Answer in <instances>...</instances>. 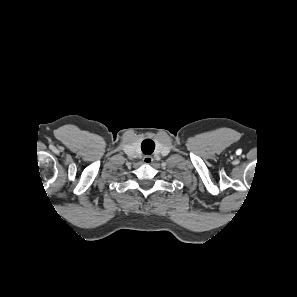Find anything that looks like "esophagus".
<instances>
[{"mask_svg":"<svg viewBox=\"0 0 297 297\" xmlns=\"http://www.w3.org/2000/svg\"><path fill=\"white\" fill-rule=\"evenodd\" d=\"M143 162H144L145 164H151V163L153 162V158H152L151 156H149V155H146V156H144V158H143Z\"/></svg>","mask_w":297,"mask_h":297,"instance_id":"obj_1","label":"esophagus"}]
</instances>
